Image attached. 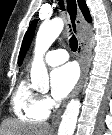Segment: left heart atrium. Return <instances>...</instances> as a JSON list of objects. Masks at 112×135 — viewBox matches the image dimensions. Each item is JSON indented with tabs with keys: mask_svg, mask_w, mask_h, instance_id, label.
I'll return each mask as SVG.
<instances>
[{
	"mask_svg": "<svg viewBox=\"0 0 112 135\" xmlns=\"http://www.w3.org/2000/svg\"><path fill=\"white\" fill-rule=\"evenodd\" d=\"M78 70L73 63H67L51 72V92L55 99L67 96L78 80Z\"/></svg>",
	"mask_w": 112,
	"mask_h": 135,
	"instance_id": "1",
	"label": "left heart atrium"
}]
</instances>
